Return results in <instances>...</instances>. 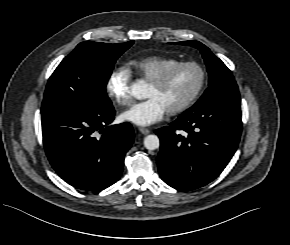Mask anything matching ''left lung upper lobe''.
Returning a JSON list of instances; mask_svg holds the SVG:
<instances>
[{
  "label": "left lung upper lobe",
  "mask_w": 290,
  "mask_h": 245,
  "mask_svg": "<svg viewBox=\"0 0 290 245\" xmlns=\"http://www.w3.org/2000/svg\"><path fill=\"white\" fill-rule=\"evenodd\" d=\"M174 44L187 45L197 48L206 63L209 73V87L194 106L218 102L230 105H240V95L232 72L217 58L208 47L198 41L176 42Z\"/></svg>",
  "instance_id": "left-lung-upper-lobe-1"
}]
</instances>
